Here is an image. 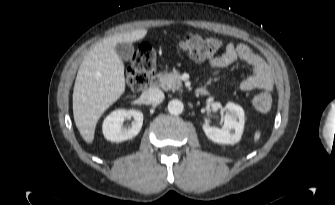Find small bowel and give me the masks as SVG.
I'll return each instance as SVG.
<instances>
[{"instance_id":"c3829d8e","label":"small bowel","mask_w":335,"mask_h":205,"mask_svg":"<svg viewBox=\"0 0 335 205\" xmlns=\"http://www.w3.org/2000/svg\"><path fill=\"white\" fill-rule=\"evenodd\" d=\"M238 59L252 67V73L240 83L241 90L251 91L271 87L272 82L264 61L245 44H228L225 52L221 56L213 58L210 64L216 68H225Z\"/></svg>"}]
</instances>
